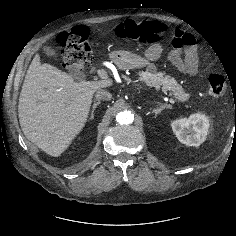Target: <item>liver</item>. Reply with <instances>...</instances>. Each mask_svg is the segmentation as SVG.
Segmentation results:
<instances>
[{"label":"liver","instance_id":"obj_1","mask_svg":"<svg viewBox=\"0 0 236 236\" xmlns=\"http://www.w3.org/2000/svg\"><path fill=\"white\" fill-rule=\"evenodd\" d=\"M111 85V80L75 82L36 54L18 103L25 137L47 154L60 156L85 126L94 93Z\"/></svg>","mask_w":236,"mask_h":236}]
</instances>
